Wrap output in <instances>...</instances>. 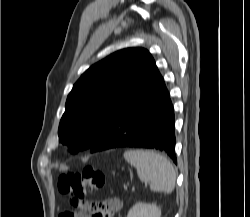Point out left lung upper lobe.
Listing matches in <instances>:
<instances>
[{"label":"left lung upper lobe","mask_w":250,"mask_h":217,"mask_svg":"<svg viewBox=\"0 0 250 217\" xmlns=\"http://www.w3.org/2000/svg\"><path fill=\"white\" fill-rule=\"evenodd\" d=\"M154 66L143 48L117 51L91 66L67 97L59 142L73 154L92 148Z\"/></svg>","instance_id":"5c2ea615"}]
</instances>
